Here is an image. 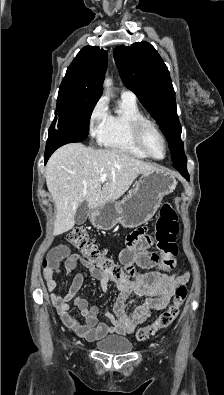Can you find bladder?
<instances>
[{
	"label": "bladder",
	"instance_id": "bladder-1",
	"mask_svg": "<svg viewBox=\"0 0 224 395\" xmlns=\"http://www.w3.org/2000/svg\"><path fill=\"white\" fill-rule=\"evenodd\" d=\"M96 348L107 354H127L132 351L133 344L126 337L109 336L97 342Z\"/></svg>",
	"mask_w": 224,
	"mask_h": 395
}]
</instances>
